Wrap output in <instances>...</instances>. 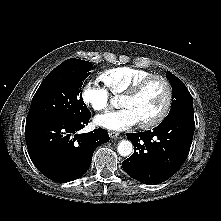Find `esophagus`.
Masks as SVG:
<instances>
[{
    "mask_svg": "<svg viewBox=\"0 0 221 221\" xmlns=\"http://www.w3.org/2000/svg\"><path fill=\"white\" fill-rule=\"evenodd\" d=\"M109 136H110V138H112V139H116V138L119 136V133H118V132H115V131H110V132H109Z\"/></svg>",
    "mask_w": 221,
    "mask_h": 221,
    "instance_id": "obj_1",
    "label": "esophagus"
}]
</instances>
